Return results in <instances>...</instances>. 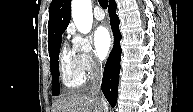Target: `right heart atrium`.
I'll use <instances>...</instances> for the list:
<instances>
[{
	"mask_svg": "<svg viewBox=\"0 0 193 112\" xmlns=\"http://www.w3.org/2000/svg\"><path fill=\"white\" fill-rule=\"evenodd\" d=\"M70 34L72 36V50L81 70L84 74H97L101 69V64L94 56L89 40L74 31H70Z\"/></svg>",
	"mask_w": 193,
	"mask_h": 112,
	"instance_id": "1",
	"label": "right heart atrium"
}]
</instances>
